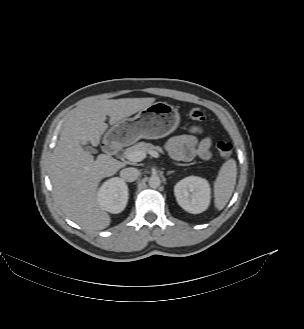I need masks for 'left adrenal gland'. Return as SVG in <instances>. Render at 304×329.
I'll return each mask as SVG.
<instances>
[{
    "label": "left adrenal gland",
    "instance_id": "1",
    "mask_svg": "<svg viewBox=\"0 0 304 329\" xmlns=\"http://www.w3.org/2000/svg\"><path fill=\"white\" fill-rule=\"evenodd\" d=\"M174 171H169L168 173H167V175H169V174H171V173H173Z\"/></svg>",
    "mask_w": 304,
    "mask_h": 329
}]
</instances>
